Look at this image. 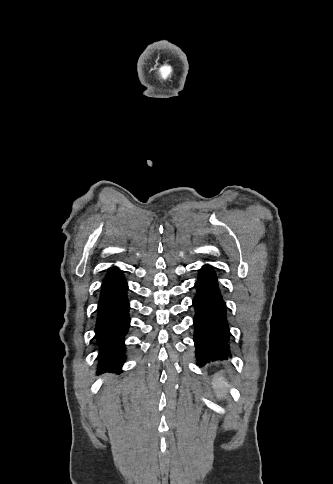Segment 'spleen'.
Wrapping results in <instances>:
<instances>
[{"label":"spleen","mask_w":333,"mask_h":484,"mask_svg":"<svg viewBox=\"0 0 333 484\" xmlns=\"http://www.w3.org/2000/svg\"><path fill=\"white\" fill-rule=\"evenodd\" d=\"M213 389L215 390L218 398H224L227 395L228 383L223 376L217 375L212 382Z\"/></svg>","instance_id":"3e777b00"}]
</instances>
